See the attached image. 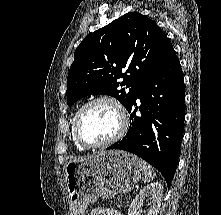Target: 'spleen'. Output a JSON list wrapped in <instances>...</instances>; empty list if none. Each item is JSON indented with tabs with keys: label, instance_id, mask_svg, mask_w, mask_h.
<instances>
[{
	"label": "spleen",
	"instance_id": "spleen-1",
	"mask_svg": "<svg viewBox=\"0 0 221 215\" xmlns=\"http://www.w3.org/2000/svg\"><path fill=\"white\" fill-rule=\"evenodd\" d=\"M142 174H143L142 181L144 183L150 182L156 176V174H155L154 170L152 169V167L144 161H142Z\"/></svg>",
	"mask_w": 221,
	"mask_h": 215
}]
</instances>
